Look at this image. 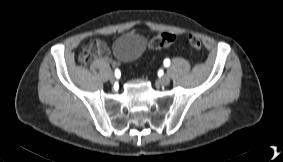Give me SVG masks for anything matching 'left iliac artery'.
<instances>
[{"label": "left iliac artery", "instance_id": "44dca946", "mask_svg": "<svg viewBox=\"0 0 283 162\" xmlns=\"http://www.w3.org/2000/svg\"><path fill=\"white\" fill-rule=\"evenodd\" d=\"M170 65V60L169 59H165L164 60V66L168 67Z\"/></svg>", "mask_w": 283, "mask_h": 162}]
</instances>
